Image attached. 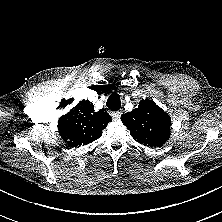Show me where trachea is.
I'll return each instance as SVG.
<instances>
[{
  "instance_id": "obj_1",
  "label": "trachea",
  "mask_w": 222,
  "mask_h": 222,
  "mask_svg": "<svg viewBox=\"0 0 222 222\" xmlns=\"http://www.w3.org/2000/svg\"><path fill=\"white\" fill-rule=\"evenodd\" d=\"M106 105L112 111L119 110L121 107V100H120L119 94L117 93L111 94L109 98L107 99Z\"/></svg>"
}]
</instances>
